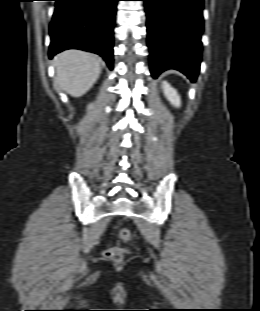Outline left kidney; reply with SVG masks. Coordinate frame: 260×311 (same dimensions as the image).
Listing matches in <instances>:
<instances>
[{"mask_svg":"<svg viewBox=\"0 0 260 311\" xmlns=\"http://www.w3.org/2000/svg\"><path fill=\"white\" fill-rule=\"evenodd\" d=\"M162 89L164 92L165 97L168 99V101L175 107L181 106V99L178 95L176 89L171 87V85L167 81L162 82Z\"/></svg>","mask_w":260,"mask_h":311,"instance_id":"obj_1","label":"left kidney"}]
</instances>
